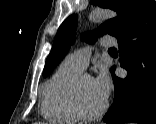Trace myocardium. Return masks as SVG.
Listing matches in <instances>:
<instances>
[{"label": "myocardium", "instance_id": "obj_1", "mask_svg": "<svg viewBox=\"0 0 156 124\" xmlns=\"http://www.w3.org/2000/svg\"><path fill=\"white\" fill-rule=\"evenodd\" d=\"M84 78H91V77L88 75H79L73 81V83L69 89V93H68V103H69L71 110L77 116V118L79 120H83V121L96 120V119L100 118L107 110L108 101L105 100L103 106L98 111H96L94 113L86 112L81 106L80 96H79L80 85Z\"/></svg>", "mask_w": 156, "mask_h": 124}]
</instances>
